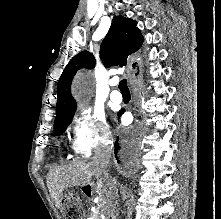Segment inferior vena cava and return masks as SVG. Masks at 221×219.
<instances>
[{"label":"inferior vena cava","mask_w":221,"mask_h":219,"mask_svg":"<svg viewBox=\"0 0 221 219\" xmlns=\"http://www.w3.org/2000/svg\"><path fill=\"white\" fill-rule=\"evenodd\" d=\"M112 148H113V142L111 139H102L95 150V156L93 158L92 163L95 166L98 175L101 177H106V178L110 177L107 167H108L109 160L111 157ZM114 183H115L114 184L115 186L113 189L115 190L117 187L116 186L117 182L115 181ZM118 197H119L118 192H116V200L114 203V208L110 209L107 212L106 219H109V218L117 219L119 215V212H118L119 204L117 200Z\"/></svg>","instance_id":"1"}]
</instances>
